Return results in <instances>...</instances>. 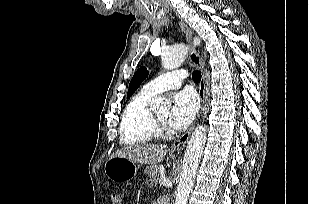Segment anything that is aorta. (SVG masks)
Instances as JSON below:
<instances>
[{
	"instance_id": "aorta-1",
	"label": "aorta",
	"mask_w": 309,
	"mask_h": 204,
	"mask_svg": "<svg viewBox=\"0 0 309 204\" xmlns=\"http://www.w3.org/2000/svg\"><path fill=\"white\" fill-rule=\"evenodd\" d=\"M188 47L185 44H177L162 52L161 62L166 70L178 68L186 58ZM154 110L167 106L164 98L158 97L150 104ZM206 143V127L199 125L191 134L183 159L182 172L176 190L175 204H187L189 194L194 185L197 168Z\"/></svg>"
}]
</instances>
